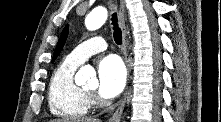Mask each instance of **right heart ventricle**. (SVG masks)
<instances>
[{"label":"right heart ventricle","mask_w":221,"mask_h":122,"mask_svg":"<svg viewBox=\"0 0 221 122\" xmlns=\"http://www.w3.org/2000/svg\"><path fill=\"white\" fill-rule=\"evenodd\" d=\"M79 65L80 63L68 56L52 74L48 87V104L55 116L82 117L90 109L89 96L74 80Z\"/></svg>","instance_id":"right-heart-ventricle-1"}]
</instances>
